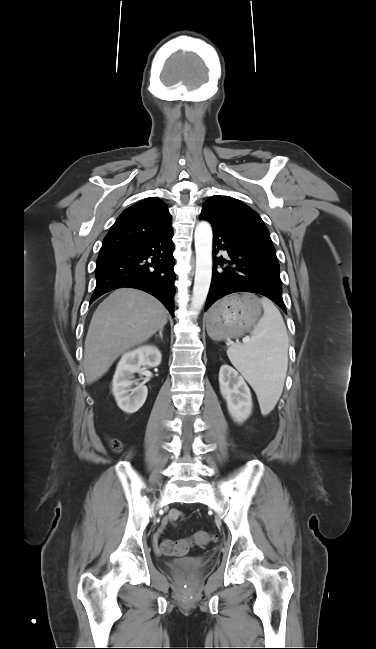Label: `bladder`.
<instances>
[{
	"label": "bladder",
	"instance_id": "bladder-1",
	"mask_svg": "<svg viewBox=\"0 0 376 649\" xmlns=\"http://www.w3.org/2000/svg\"><path fill=\"white\" fill-rule=\"evenodd\" d=\"M171 565L172 566L186 567L188 569L197 571V570H199L200 568H202L205 565V562L200 561V560L186 558V559L177 560V561L173 562Z\"/></svg>",
	"mask_w": 376,
	"mask_h": 649
}]
</instances>
